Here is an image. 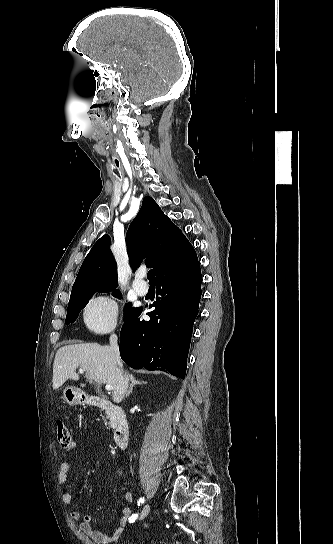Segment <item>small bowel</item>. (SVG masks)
Listing matches in <instances>:
<instances>
[{
	"instance_id": "1",
	"label": "small bowel",
	"mask_w": 333,
	"mask_h": 544,
	"mask_svg": "<svg viewBox=\"0 0 333 544\" xmlns=\"http://www.w3.org/2000/svg\"><path fill=\"white\" fill-rule=\"evenodd\" d=\"M71 464L68 461H64L60 464L59 472H58V482L63 489L62 491V501L66 505H72L73 504V497L70 491L65 489V484L68 479V473L70 471ZM117 475L118 477H121L123 475V471L120 466H117ZM125 499L127 502L133 501V494L130 491H127L125 493ZM133 515H131V508L126 506L122 509V513L119 519L118 526L110 533L105 534L102 531L96 529L94 527V521L92 516L90 515H82L79 511H72L70 513V517L74 521L81 520L79 524V528L83 533H85L88 537H90L94 542L96 543H109L112 541L117 540L124 527L127 525L128 521Z\"/></svg>"
}]
</instances>
